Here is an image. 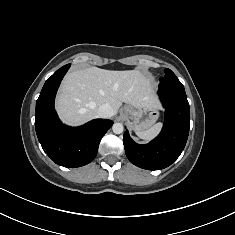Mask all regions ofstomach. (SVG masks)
<instances>
[{"label":"stomach","instance_id":"stomach-1","mask_svg":"<svg viewBox=\"0 0 235 235\" xmlns=\"http://www.w3.org/2000/svg\"><path fill=\"white\" fill-rule=\"evenodd\" d=\"M124 112L129 120L130 127L136 131H144L150 128L159 118V108L154 105L134 107L127 105Z\"/></svg>","mask_w":235,"mask_h":235}]
</instances>
